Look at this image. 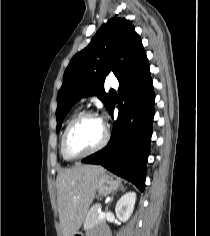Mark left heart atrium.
Instances as JSON below:
<instances>
[{
  "label": "left heart atrium",
  "instance_id": "1",
  "mask_svg": "<svg viewBox=\"0 0 210 236\" xmlns=\"http://www.w3.org/2000/svg\"><path fill=\"white\" fill-rule=\"evenodd\" d=\"M98 121L103 125V118L102 117L98 118Z\"/></svg>",
  "mask_w": 210,
  "mask_h": 236
}]
</instances>
